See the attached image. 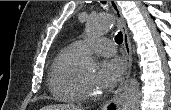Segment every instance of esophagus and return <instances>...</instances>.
<instances>
[{
	"label": "esophagus",
	"instance_id": "esophagus-1",
	"mask_svg": "<svg viewBox=\"0 0 171 110\" xmlns=\"http://www.w3.org/2000/svg\"><path fill=\"white\" fill-rule=\"evenodd\" d=\"M109 4L114 11L117 18V26L123 33V46L125 51V72L118 89L115 91L113 97L105 102L102 106V110H118L120 109L126 90L132 67V49L131 40L126 28L125 20L122 16L121 9L116 1H109Z\"/></svg>",
	"mask_w": 171,
	"mask_h": 110
}]
</instances>
